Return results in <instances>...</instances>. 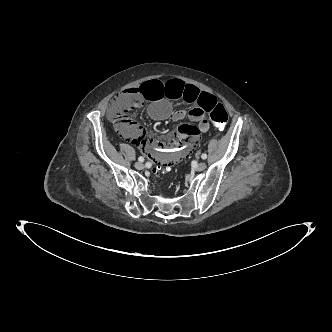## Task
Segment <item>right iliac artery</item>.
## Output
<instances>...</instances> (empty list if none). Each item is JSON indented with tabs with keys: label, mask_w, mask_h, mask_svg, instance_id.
<instances>
[{
	"label": "right iliac artery",
	"mask_w": 332,
	"mask_h": 332,
	"mask_svg": "<svg viewBox=\"0 0 332 332\" xmlns=\"http://www.w3.org/2000/svg\"><path fill=\"white\" fill-rule=\"evenodd\" d=\"M138 161H140V162H144V158H143L142 156H140V157L138 158Z\"/></svg>",
	"instance_id": "82829eb1"
}]
</instances>
